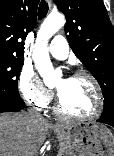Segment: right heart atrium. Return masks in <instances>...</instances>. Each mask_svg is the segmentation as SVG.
Masks as SVG:
<instances>
[{
	"instance_id": "d8ad5b80",
	"label": "right heart atrium",
	"mask_w": 114,
	"mask_h": 156,
	"mask_svg": "<svg viewBox=\"0 0 114 156\" xmlns=\"http://www.w3.org/2000/svg\"><path fill=\"white\" fill-rule=\"evenodd\" d=\"M17 85L23 100L36 108H46L53 98L52 93L42 84L38 75L28 66L21 69Z\"/></svg>"
}]
</instances>
